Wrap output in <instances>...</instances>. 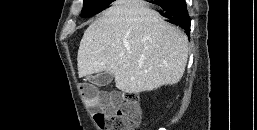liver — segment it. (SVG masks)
<instances>
[{
    "instance_id": "liver-1",
    "label": "liver",
    "mask_w": 257,
    "mask_h": 130,
    "mask_svg": "<svg viewBox=\"0 0 257 130\" xmlns=\"http://www.w3.org/2000/svg\"><path fill=\"white\" fill-rule=\"evenodd\" d=\"M188 38L140 0H119L84 32L79 77L108 72L125 93L151 91L182 78Z\"/></svg>"
}]
</instances>
